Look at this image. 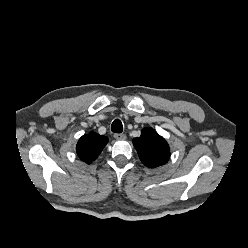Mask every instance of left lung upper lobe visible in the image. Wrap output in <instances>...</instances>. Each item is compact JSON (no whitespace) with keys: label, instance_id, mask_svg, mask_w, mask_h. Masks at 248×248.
Listing matches in <instances>:
<instances>
[{"label":"left lung upper lobe","instance_id":"5c2ea615","mask_svg":"<svg viewBox=\"0 0 248 248\" xmlns=\"http://www.w3.org/2000/svg\"><path fill=\"white\" fill-rule=\"evenodd\" d=\"M139 158L150 168L164 165L170 158V149L166 140L152 128H145L141 136L133 139Z\"/></svg>","mask_w":248,"mask_h":248}]
</instances>
